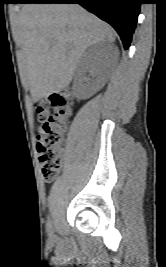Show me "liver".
Segmentation results:
<instances>
[{
    "mask_svg": "<svg viewBox=\"0 0 166 267\" xmlns=\"http://www.w3.org/2000/svg\"><path fill=\"white\" fill-rule=\"evenodd\" d=\"M20 68L34 102L65 89L84 51L99 41H115V31L78 4L22 6L14 32Z\"/></svg>",
    "mask_w": 166,
    "mask_h": 267,
    "instance_id": "obj_1",
    "label": "liver"
}]
</instances>
